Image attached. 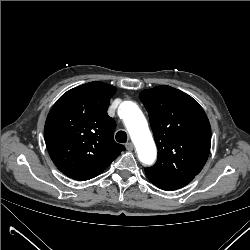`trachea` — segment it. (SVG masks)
I'll use <instances>...</instances> for the list:
<instances>
[{"mask_svg": "<svg viewBox=\"0 0 250 250\" xmlns=\"http://www.w3.org/2000/svg\"><path fill=\"white\" fill-rule=\"evenodd\" d=\"M116 141L120 143H125L127 141V134L124 131H118L116 134Z\"/></svg>", "mask_w": 250, "mask_h": 250, "instance_id": "obj_1", "label": "trachea"}]
</instances>
